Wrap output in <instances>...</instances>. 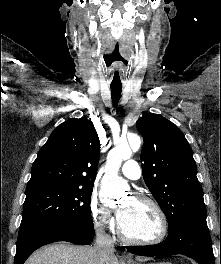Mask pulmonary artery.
Returning a JSON list of instances; mask_svg holds the SVG:
<instances>
[{"instance_id":"pulmonary-artery-1","label":"pulmonary artery","mask_w":221,"mask_h":264,"mask_svg":"<svg viewBox=\"0 0 221 264\" xmlns=\"http://www.w3.org/2000/svg\"><path fill=\"white\" fill-rule=\"evenodd\" d=\"M121 172L130 180H138L141 177V168L135 160H127L123 164Z\"/></svg>"}]
</instances>
